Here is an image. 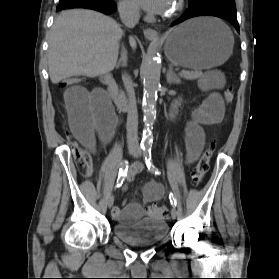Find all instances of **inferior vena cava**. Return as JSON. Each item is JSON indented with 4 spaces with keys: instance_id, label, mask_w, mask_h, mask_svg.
<instances>
[{
    "instance_id": "1",
    "label": "inferior vena cava",
    "mask_w": 279,
    "mask_h": 279,
    "mask_svg": "<svg viewBox=\"0 0 279 279\" xmlns=\"http://www.w3.org/2000/svg\"><path fill=\"white\" fill-rule=\"evenodd\" d=\"M120 19L128 28H134L140 18V11L136 5L125 3L118 7ZM128 94V114H127V140L131 147H138V112L136 98L131 77L127 74L123 77Z\"/></svg>"
}]
</instances>
